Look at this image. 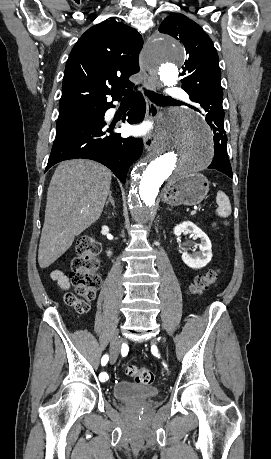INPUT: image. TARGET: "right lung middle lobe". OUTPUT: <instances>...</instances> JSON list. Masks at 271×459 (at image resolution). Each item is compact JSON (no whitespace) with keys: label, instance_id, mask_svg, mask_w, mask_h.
<instances>
[{"label":"right lung middle lobe","instance_id":"dd1d6c3e","mask_svg":"<svg viewBox=\"0 0 271 459\" xmlns=\"http://www.w3.org/2000/svg\"><path fill=\"white\" fill-rule=\"evenodd\" d=\"M106 106L87 105L74 110L60 111L56 127L84 119L103 118Z\"/></svg>","mask_w":271,"mask_h":459}]
</instances>
